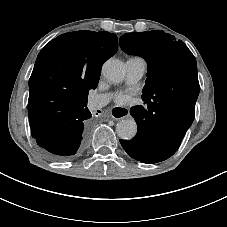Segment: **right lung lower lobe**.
<instances>
[{"label":"right lung lower lobe","instance_id":"obj_1","mask_svg":"<svg viewBox=\"0 0 227 227\" xmlns=\"http://www.w3.org/2000/svg\"><path fill=\"white\" fill-rule=\"evenodd\" d=\"M87 102L72 107L69 122L63 127L49 132L32 131L33 138L43 148L49 158L64 160L71 158L84 145L87 134V125L91 117Z\"/></svg>","mask_w":227,"mask_h":227}]
</instances>
